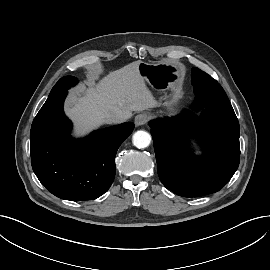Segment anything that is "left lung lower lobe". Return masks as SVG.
<instances>
[{
  "label": "left lung lower lobe",
  "instance_id": "0a47b994",
  "mask_svg": "<svg viewBox=\"0 0 270 270\" xmlns=\"http://www.w3.org/2000/svg\"><path fill=\"white\" fill-rule=\"evenodd\" d=\"M196 94L190 111L154 120L152 128L157 171L164 186L183 197H200L222 189L236 172L240 160L239 122L229 105L202 103ZM199 138L205 148L195 158L186 146L188 135Z\"/></svg>",
  "mask_w": 270,
  "mask_h": 270
}]
</instances>
